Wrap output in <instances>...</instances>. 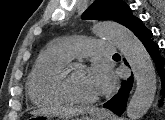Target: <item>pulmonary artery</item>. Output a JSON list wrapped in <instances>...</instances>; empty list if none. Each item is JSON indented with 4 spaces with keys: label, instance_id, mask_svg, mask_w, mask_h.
<instances>
[{
    "label": "pulmonary artery",
    "instance_id": "pulmonary-artery-1",
    "mask_svg": "<svg viewBox=\"0 0 165 120\" xmlns=\"http://www.w3.org/2000/svg\"><path fill=\"white\" fill-rule=\"evenodd\" d=\"M54 47L69 59L89 54L112 56L117 51L114 43L104 41H89L73 37H64L54 43Z\"/></svg>",
    "mask_w": 165,
    "mask_h": 120
}]
</instances>
